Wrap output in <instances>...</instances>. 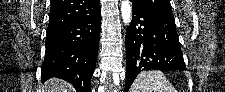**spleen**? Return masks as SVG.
<instances>
[{"mask_svg": "<svg viewBox=\"0 0 225 92\" xmlns=\"http://www.w3.org/2000/svg\"><path fill=\"white\" fill-rule=\"evenodd\" d=\"M130 92H176V89L162 72L144 71L137 76Z\"/></svg>", "mask_w": 225, "mask_h": 92, "instance_id": "spleen-1", "label": "spleen"}]
</instances>
